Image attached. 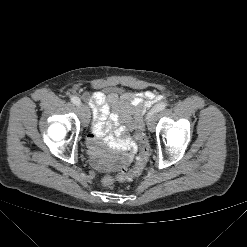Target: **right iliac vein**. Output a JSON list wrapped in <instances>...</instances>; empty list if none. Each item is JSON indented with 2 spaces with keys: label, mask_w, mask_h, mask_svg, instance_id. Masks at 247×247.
Returning a JSON list of instances; mask_svg holds the SVG:
<instances>
[{
  "label": "right iliac vein",
  "mask_w": 247,
  "mask_h": 247,
  "mask_svg": "<svg viewBox=\"0 0 247 247\" xmlns=\"http://www.w3.org/2000/svg\"><path fill=\"white\" fill-rule=\"evenodd\" d=\"M78 110L80 112L83 125L87 126L90 120V112L88 107L84 104H80L78 105Z\"/></svg>",
  "instance_id": "1"
}]
</instances>
